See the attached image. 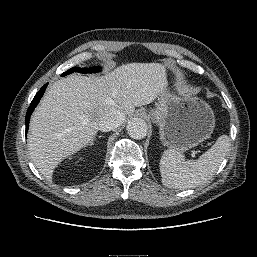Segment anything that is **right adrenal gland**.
Returning a JSON list of instances; mask_svg holds the SVG:
<instances>
[{
    "label": "right adrenal gland",
    "instance_id": "1",
    "mask_svg": "<svg viewBox=\"0 0 257 257\" xmlns=\"http://www.w3.org/2000/svg\"><path fill=\"white\" fill-rule=\"evenodd\" d=\"M102 136H99V138H101ZM96 139H95V137L91 140V142H90V146H92L93 144H94V141H95Z\"/></svg>",
    "mask_w": 257,
    "mask_h": 257
}]
</instances>
